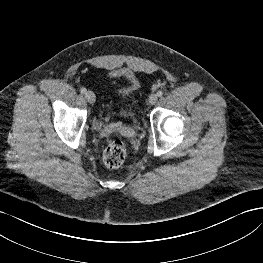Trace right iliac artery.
Instances as JSON below:
<instances>
[{
  "mask_svg": "<svg viewBox=\"0 0 263 263\" xmlns=\"http://www.w3.org/2000/svg\"><path fill=\"white\" fill-rule=\"evenodd\" d=\"M80 91H81L82 94H84V93H86V88L83 87V88H81Z\"/></svg>",
  "mask_w": 263,
  "mask_h": 263,
  "instance_id": "obj_1",
  "label": "right iliac artery"
}]
</instances>
